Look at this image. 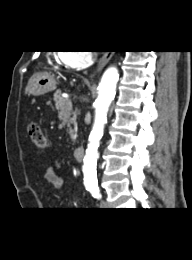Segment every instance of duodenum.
I'll use <instances>...</instances> for the list:
<instances>
[{"label":"duodenum","instance_id":"410a0bca","mask_svg":"<svg viewBox=\"0 0 192 260\" xmlns=\"http://www.w3.org/2000/svg\"><path fill=\"white\" fill-rule=\"evenodd\" d=\"M84 147L83 146H78L74 149L73 151V157L76 161H82L84 157Z\"/></svg>","mask_w":192,"mask_h":260}]
</instances>
